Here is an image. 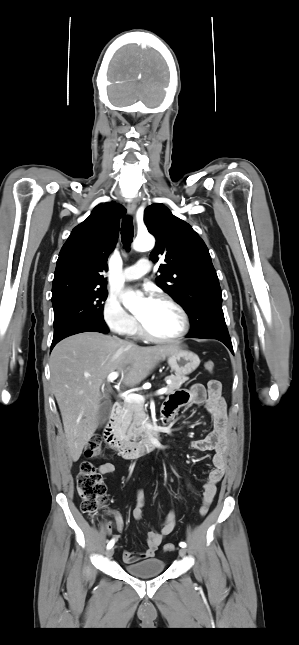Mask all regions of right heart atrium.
<instances>
[{
  "instance_id": "d8ad5b80",
  "label": "right heart atrium",
  "mask_w": 299,
  "mask_h": 645,
  "mask_svg": "<svg viewBox=\"0 0 299 645\" xmlns=\"http://www.w3.org/2000/svg\"><path fill=\"white\" fill-rule=\"evenodd\" d=\"M102 317L105 325L113 333L128 335L136 331L137 322L135 318L113 296H109L106 299L102 309Z\"/></svg>"
}]
</instances>
